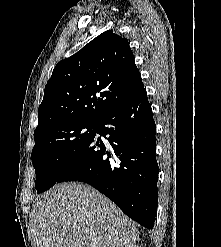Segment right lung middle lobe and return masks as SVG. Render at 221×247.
<instances>
[{
  "label": "right lung middle lobe",
  "instance_id": "right-lung-middle-lobe-1",
  "mask_svg": "<svg viewBox=\"0 0 221 247\" xmlns=\"http://www.w3.org/2000/svg\"><path fill=\"white\" fill-rule=\"evenodd\" d=\"M97 123L68 122L34 136L31 159L35 188L42 193L54 184L95 133Z\"/></svg>",
  "mask_w": 221,
  "mask_h": 247
}]
</instances>
